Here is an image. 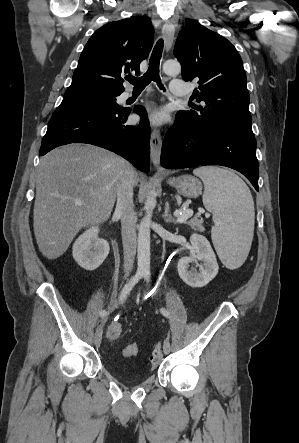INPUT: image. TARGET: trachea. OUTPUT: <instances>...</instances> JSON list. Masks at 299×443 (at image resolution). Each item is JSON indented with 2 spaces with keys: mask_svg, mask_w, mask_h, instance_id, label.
<instances>
[{
  "mask_svg": "<svg viewBox=\"0 0 299 443\" xmlns=\"http://www.w3.org/2000/svg\"><path fill=\"white\" fill-rule=\"evenodd\" d=\"M163 40L159 39L153 49L149 60V67L146 73L141 77H130L128 81L134 86L133 90L141 92L151 81L157 83L160 89L165 90L159 76V65L163 52Z\"/></svg>",
  "mask_w": 299,
  "mask_h": 443,
  "instance_id": "obj_1",
  "label": "trachea"
}]
</instances>
